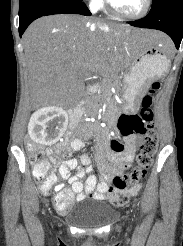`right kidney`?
Listing matches in <instances>:
<instances>
[{
	"label": "right kidney",
	"mask_w": 183,
	"mask_h": 246,
	"mask_svg": "<svg viewBox=\"0 0 183 246\" xmlns=\"http://www.w3.org/2000/svg\"><path fill=\"white\" fill-rule=\"evenodd\" d=\"M67 124L65 110L58 106H49L33 113L28 124V133L34 142L51 145L63 135Z\"/></svg>",
	"instance_id": "ca27d5eb"
}]
</instances>
